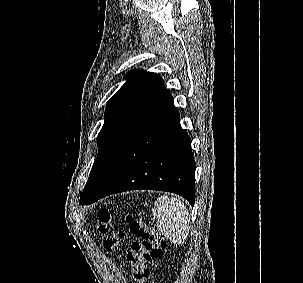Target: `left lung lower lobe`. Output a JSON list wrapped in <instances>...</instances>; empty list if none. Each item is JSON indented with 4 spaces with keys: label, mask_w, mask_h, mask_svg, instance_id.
I'll return each instance as SVG.
<instances>
[{
    "label": "left lung lower lobe",
    "mask_w": 303,
    "mask_h": 283,
    "mask_svg": "<svg viewBox=\"0 0 303 283\" xmlns=\"http://www.w3.org/2000/svg\"><path fill=\"white\" fill-rule=\"evenodd\" d=\"M172 95L163 86L103 184L81 195L88 205L111 194L150 189L168 191L195 203L196 164L188 134L181 128Z\"/></svg>",
    "instance_id": "obj_1"
}]
</instances>
